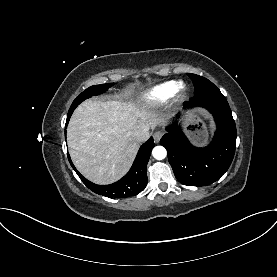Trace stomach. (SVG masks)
<instances>
[{
  "mask_svg": "<svg viewBox=\"0 0 277 277\" xmlns=\"http://www.w3.org/2000/svg\"><path fill=\"white\" fill-rule=\"evenodd\" d=\"M199 123L200 120L194 115H188L185 118V127H189L185 131L191 141L196 145L203 144L208 137L207 127L203 124L199 125Z\"/></svg>",
  "mask_w": 277,
  "mask_h": 277,
  "instance_id": "obj_1",
  "label": "stomach"
}]
</instances>
